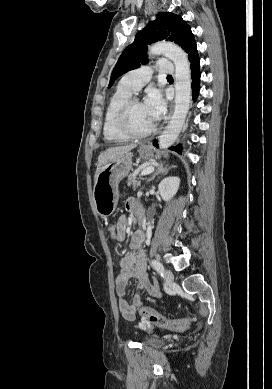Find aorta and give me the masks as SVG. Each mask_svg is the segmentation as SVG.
<instances>
[{
    "label": "aorta",
    "mask_w": 272,
    "mask_h": 389,
    "mask_svg": "<svg viewBox=\"0 0 272 389\" xmlns=\"http://www.w3.org/2000/svg\"><path fill=\"white\" fill-rule=\"evenodd\" d=\"M148 53L163 54L175 65V108L172 118L159 136V147H170L178 138L185 123L191 102V70L188 55L179 46L169 42H159L149 48Z\"/></svg>",
    "instance_id": "obj_1"
}]
</instances>
